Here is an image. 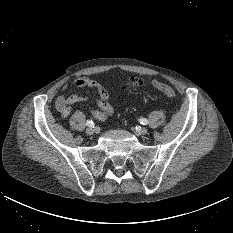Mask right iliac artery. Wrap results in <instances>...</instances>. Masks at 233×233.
I'll list each match as a JSON object with an SVG mask.
<instances>
[{
    "mask_svg": "<svg viewBox=\"0 0 233 233\" xmlns=\"http://www.w3.org/2000/svg\"><path fill=\"white\" fill-rule=\"evenodd\" d=\"M94 123H93V121H91V120H87L86 121V125L87 126H92Z\"/></svg>",
    "mask_w": 233,
    "mask_h": 233,
    "instance_id": "obj_1",
    "label": "right iliac artery"
}]
</instances>
